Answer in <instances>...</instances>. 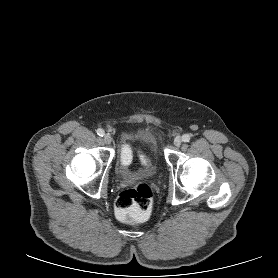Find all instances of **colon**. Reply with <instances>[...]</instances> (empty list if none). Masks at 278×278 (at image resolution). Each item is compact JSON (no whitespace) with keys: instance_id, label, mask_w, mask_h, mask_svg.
<instances>
[{"instance_id":"1","label":"colon","mask_w":278,"mask_h":278,"mask_svg":"<svg viewBox=\"0 0 278 278\" xmlns=\"http://www.w3.org/2000/svg\"><path fill=\"white\" fill-rule=\"evenodd\" d=\"M130 160L131 154L126 147L123 162L127 165ZM152 206L153 192L150 186L144 182L137 183L122 191L115 201V211L118 218L130 224L145 222L151 214Z\"/></svg>"}]
</instances>
